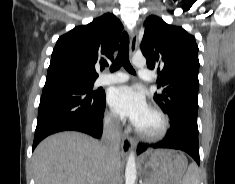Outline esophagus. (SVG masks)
Here are the masks:
<instances>
[{
    "label": "esophagus",
    "instance_id": "esophagus-1",
    "mask_svg": "<svg viewBox=\"0 0 235 184\" xmlns=\"http://www.w3.org/2000/svg\"><path fill=\"white\" fill-rule=\"evenodd\" d=\"M137 44H138V33L136 30H134L131 34V39H130V58H132L133 55L135 54L137 49ZM134 145L135 142L131 137L123 136L121 142V153L125 156L128 155L133 149Z\"/></svg>",
    "mask_w": 235,
    "mask_h": 184
}]
</instances>
